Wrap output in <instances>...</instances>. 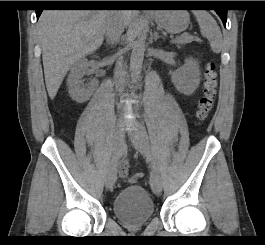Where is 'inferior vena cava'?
Masks as SVG:
<instances>
[{"label": "inferior vena cava", "instance_id": "obj_1", "mask_svg": "<svg viewBox=\"0 0 265 245\" xmlns=\"http://www.w3.org/2000/svg\"><path fill=\"white\" fill-rule=\"evenodd\" d=\"M124 22L120 17L119 12H114L113 17L109 20L105 35L109 42L117 43L120 40V36L124 31ZM125 69L122 63V60H119L116 64L114 78H115V86L117 90L121 91L123 89V85L125 82Z\"/></svg>", "mask_w": 265, "mask_h": 245}]
</instances>
